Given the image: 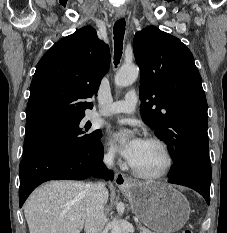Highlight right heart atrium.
<instances>
[{
	"label": "right heart atrium",
	"mask_w": 227,
	"mask_h": 233,
	"mask_svg": "<svg viewBox=\"0 0 227 233\" xmlns=\"http://www.w3.org/2000/svg\"><path fill=\"white\" fill-rule=\"evenodd\" d=\"M102 159H103V162L109 166L115 163L116 154H115L114 148L111 145L107 144L104 146Z\"/></svg>",
	"instance_id": "1"
}]
</instances>
